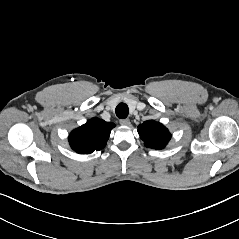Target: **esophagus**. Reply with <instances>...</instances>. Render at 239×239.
I'll list each match as a JSON object with an SVG mask.
<instances>
[{
  "label": "esophagus",
  "instance_id": "34e87169",
  "mask_svg": "<svg viewBox=\"0 0 239 239\" xmlns=\"http://www.w3.org/2000/svg\"><path fill=\"white\" fill-rule=\"evenodd\" d=\"M120 124L123 126H128V125H130V120L129 119H121Z\"/></svg>",
  "mask_w": 239,
  "mask_h": 239
}]
</instances>
